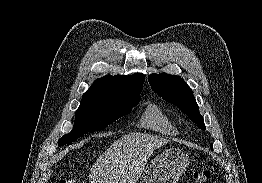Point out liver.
I'll return each instance as SVG.
<instances>
[{
	"mask_svg": "<svg viewBox=\"0 0 262 183\" xmlns=\"http://www.w3.org/2000/svg\"><path fill=\"white\" fill-rule=\"evenodd\" d=\"M165 138L129 133L114 141L96 160L90 183H135L154 150L167 144Z\"/></svg>",
	"mask_w": 262,
	"mask_h": 183,
	"instance_id": "1",
	"label": "liver"
}]
</instances>
